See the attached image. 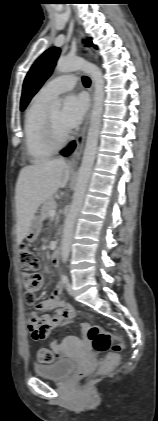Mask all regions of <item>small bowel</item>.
<instances>
[{
	"label": "small bowel",
	"instance_id": "c3829d8e",
	"mask_svg": "<svg viewBox=\"0 0 158 421\" xmlns=\"http://www.w3.org/2000/svg\"><path fill=\"white\" fill-rule=\"evenodd\" d=\"M42 284V278L40 276ZM63 285L58 283L51 296L36 304L35 312L29 314L28 330L33 340L40 341L46 339L49 334L63 323L72 321L76 312L72 305L62 299ZM54 310L52 315L38 316L36 312H47ZM76 338L69 336L63 340H53L50 344L53 352L58 356H64L69 345L73 344Z\"/></svg>",
	"mask_w": 158,
	"mask_h": 421
}]
</instances>
